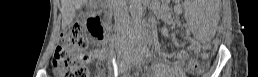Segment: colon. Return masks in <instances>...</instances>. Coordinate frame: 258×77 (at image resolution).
Listing matches in <instances>:
<instances>
[{"mask_svg": "<svg viewBox=\"0 0 258 77\" xmlns=\"http://www.w3.org/2000/svg\"><path fill=\"white\" fill-rule=\"evenodd\" d=\"M88 40L84 26L80 22L71 24L62 34L60 42L55 49L52 66L57 77H88V55L86 48ZM181 58H187L184 51L179 53ZM189 68L195 72L200 64L195 59H189Z\"/></svg>", "mask_w": 258, "mask_h": 77, "instance_id": "1", "label": "colon"}]
</instances>
